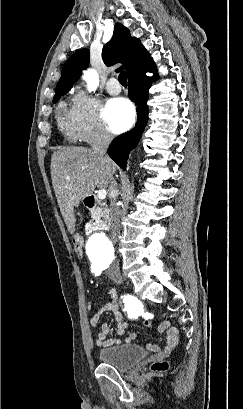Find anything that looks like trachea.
Returning a JSON list of instances; mask_svg holds the SVG:
<instances>
[{
    "instance_id": "trachea-1",
    "label": "trachea",
    "mask_w": 243,
    "mask_h": 409,
    "mask_svg": "<svg viewBox=\"0 0 243 409\" xmlns=\"http://www.w3.org/2000/svg\"><path fill=\"white\" fill-rule=\"evenodd\" d=\"M118 81L123 85L127 86V77L125 71H122L118 76Z\"/></svg>"
}]
</instances>
